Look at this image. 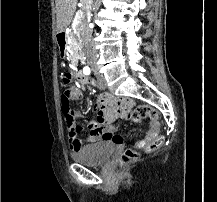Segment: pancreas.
<instances>
[{"instance_id":"cf45deb5","label":"pancreas","mask_w":217,"mask_h":202,"mask_svg":"<svg viewBox=\"0 0 217 202\" xmlns=\"http://www.w3.org/2000/svg\"><path fill=\"white\" fill-rule=\"evenodd\" d=\"M71 40H72V42H75V38H74L73 34L71 36ZM72 50L74 52L73 58H76V60H77V58H78V48H76V46H73V44H72Z\"/></svg>"}]
</instances>
